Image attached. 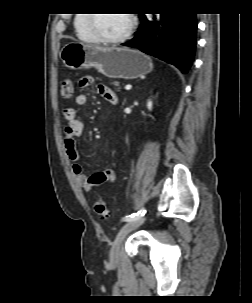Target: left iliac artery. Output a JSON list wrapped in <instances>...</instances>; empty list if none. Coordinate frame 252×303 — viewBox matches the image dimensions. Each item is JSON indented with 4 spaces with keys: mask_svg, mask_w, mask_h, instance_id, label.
<instances>
[{
    "mask_svg": "<svg viewBox=\"0 0 252 303\" xmlns=\"http://www.w3.org/2000/svg\"><path fill=\"white\" fill-rule=\"evenodd\" d=\"M146 213L145 208H142L140 211H138L137 213H133L131 215L125 216L122 220L125 222H129L135 218L144 216V214Z\"/></svg>",
    "mask_w": 252,
    "mask_h": 303,
    "instance_id": "obj_1",
    "label": "left iliac artery"
}]
</instances>
